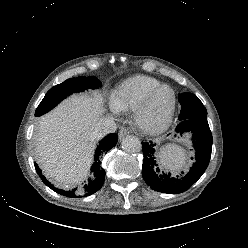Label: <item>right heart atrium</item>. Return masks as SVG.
<instances>
[{
  "label": "right heart atrium",
  "instance_id": "1",
  "mask_svg": "<svg viewBox=\"0 0 248 248\" xmlns=\"http://www.w3.org/2000/svg\"><path fill=\"white\" fill-rule=\"evenodd\" d=\"M110 111L113 115L118 116L122 111L117 107L114 100L112 99L109 103Z\"/></svg>",
  "mask_w": 248,
  "mask_h": 248
}]
</instances>
